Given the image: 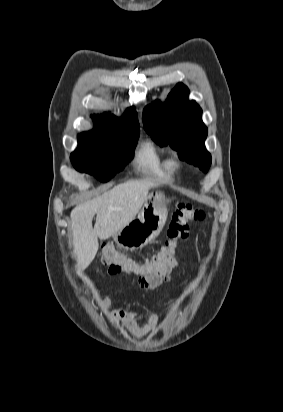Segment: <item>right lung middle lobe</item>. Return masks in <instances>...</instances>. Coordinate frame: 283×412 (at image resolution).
Masks as SVG:
<instances>
[{
  "label": "right lung middle lobe",
  "mask_w": 283,
  "mask_h": 412,
  "mask_svg": "<svg viewBox=\"0 0 283 412\" xmlns=\"http://www.w3.org/2000/svg\"><path fill=\"white\" fill-rule=\"evenodd\" d=\"M139 134L118 138L78 135V148L71 154L76 170L110 180L132 159Z\"/></svg>",
  "instance_id": "1"
}]
</instances>
